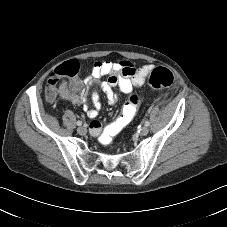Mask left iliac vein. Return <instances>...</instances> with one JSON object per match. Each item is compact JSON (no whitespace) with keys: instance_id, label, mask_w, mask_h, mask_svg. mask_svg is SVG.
Returning a JSON list of instances; mask_svg holds the SVG:
<instances>
[{"instance_id":"obj_1","label":"left iliac vein","mask_w":227,"mask_h":227,"mask_svg":"<svg viewBox=\"0 0 227 227\" xmlns=\"http://www.w3.org/2000/svg\"><path fill=\"white\" fill-rule=\"evenodd\" d=\"M149 132V128L148 127H142L140 130V135L145 136L147 135Z\"/></svg>"}]
</instances>
